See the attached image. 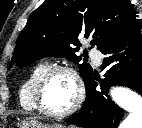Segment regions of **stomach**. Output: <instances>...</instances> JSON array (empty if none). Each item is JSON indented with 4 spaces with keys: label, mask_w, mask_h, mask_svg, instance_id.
I'll list each match as a JSON object with an SVG mask.
<instances>
[{
    "label": "stomach",
    "mask_w": 142,
    "mask_h": 128,
    "mask_svg": "<svg viewBox=\"0 0 142 128\" xmlns=\"http://www.w3.org/2000/svg\"><path fill=\"white\" fill-rule=\"evenodd\" d=\"M19 128H65V126L61 124H53V125L43 124L34 118H28L22 121Z\"/></svg>",
    "instance_id": "0dacf381"
}]
</instances>
